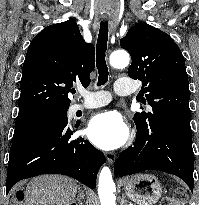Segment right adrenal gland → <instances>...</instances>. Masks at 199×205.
I'll list each match as a JSON object with an SVG mask.
<instances>
[{
	"mask_svg": "<svg viewBox=\"0 0 199 205\" xmlns=\"http://www.w3.org/2000/svg\"><path fill=\"white\" fill-rule=\"evenodd\" d=\"M84 192L79 188V193H78V196H77V201L80 205H82V200H84Z\"/></svg>",
	"mask_w": 199,
	"mask_h": 205,
	"instance_id": "right-adrenal-gland-1",
	"label": "right adrenal gland"
}]
</instances>
